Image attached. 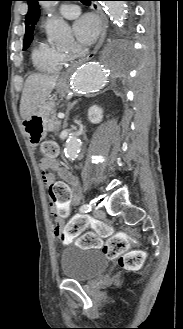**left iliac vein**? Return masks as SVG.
<instances>
[{
    "label": "left iliac vein",
    "instance_id": "1",
    "mask_svg": "<svg viewBox=\"0 0 183 329\" xmlns=\"http://www.w3.org/2000/svg\"><path fill=\"white\" fill-rule=\"evenodd\" d=\"M93 215L94 217L101 219L104 218L105 213L101 209H96L93 211Z\"/></svg>",
    "mask_w": 183,
    "mask_h": 329
}]
</instances>
